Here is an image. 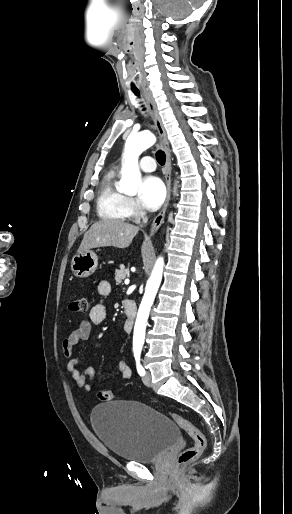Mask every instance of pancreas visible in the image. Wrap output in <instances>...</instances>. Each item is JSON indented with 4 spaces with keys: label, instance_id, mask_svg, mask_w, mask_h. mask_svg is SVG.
Instances as JSON below:
<instances>
[{
    "label": "pancreas",
    "instance_id": "obj_1",
    "mask_svg": "<svg viewBox=\"0 0 292 514\" xmlns=\"http://www.w3.org/2000/svg\"><path fill=\"white\" fill-rule=\"evenodd\" d=\"M127 274H129L128 268H125V266L121 264L120 270H115V280L117 284H121L122 280H125V278H127Z\"/></svg>",
    "mask_w": 292,
    "mask_h": 514
}]
</instances>
